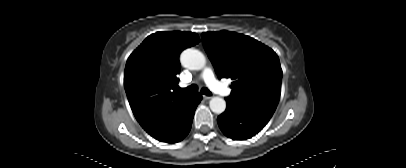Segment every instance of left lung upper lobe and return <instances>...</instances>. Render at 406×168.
<instances>
[{
    "label": "left lung upper lobe",
    "instance_id": "5c2ea615",
    "mask_svg": "<svg viewBox=\"0 0 406 168\" xmlns=\"http://www.w3.org/2000/svg\"><path fill=\"white\" fill-rule=\"evenodd\" d=\"M202 38L218 78L233 80L227 98L274 112L282 79L277 54L259 41L235 32H206Z\"/></svg>",
    "mask_w": 406,
    "mask_h": 168
}]
</instances>
